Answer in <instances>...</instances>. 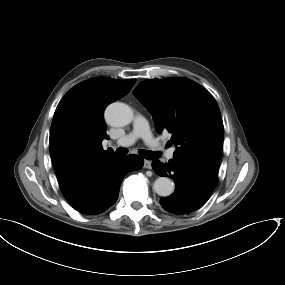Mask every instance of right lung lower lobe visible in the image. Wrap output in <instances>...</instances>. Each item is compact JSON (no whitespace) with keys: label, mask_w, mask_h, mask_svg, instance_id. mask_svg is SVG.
Here are the masks:
<instances>
[{"label":"right lung lower lobe","mask_w":285,"mask_h":285,"mask_svg":"<svg viewBox=\"0 0 285 285\" xmlns=\"http://www.w3.org/2000/svg\"><path fill=\"white\" fill-rule=\"evenodd\" d=\"M143 164V158L138 155L118 158L92 174L66 200L82 214H101L116 202L123 177L132 170L141 169Z\"/></svg>","instance_id":"1"}]
</instances>
